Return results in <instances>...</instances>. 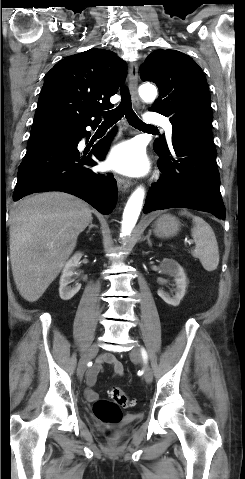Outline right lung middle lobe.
Returning <instances> with one entry per match:
<instances>
[{"mask_svg":"<svg viewBox=\"0 0 245 479\" xmlns=\"http://www.w3.org/2000/svg\"><path fill=\"white\" fill-rule=\"evenodd\" d=\"M62 130H68V129H52V130H42V131H32L30 133V137L28 140L29 143H33L35 141H38L46 136H49L52 133H55L57 131H62Z\"/></svg>","mask_w":245,"mask_h":479,"instance_id":"obj_1","label":"right lung middle lobe"}]
</instances>
